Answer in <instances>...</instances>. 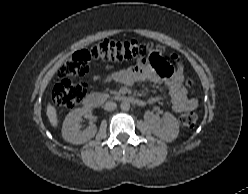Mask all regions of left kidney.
I'll list each match as a JSON object with an SVG mask.
<instances>
[{
    "label": "left kidney",
    "instance_id": "5707ae66",
    "mask_svg": "<svg viewBox=\"0 0 248 194\" xmlns=\"http://www.w3.org/2000/svg\"><path fill=\"white\" fill-rule=\"evenodd\" d=\"M151 131L161 140L172 142L179 134V123L173 115L166 113L161 125L160 123H155Z\"/></svg>",
    "mask_w": 248,
    "mask_h": 194
}]
</instances>
